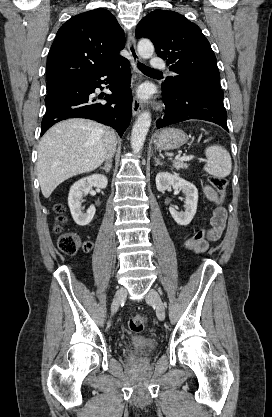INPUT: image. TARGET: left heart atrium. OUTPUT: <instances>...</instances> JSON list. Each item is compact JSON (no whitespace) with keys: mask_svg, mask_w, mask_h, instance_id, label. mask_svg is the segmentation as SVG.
Masks as SVG:
<instances>
[{"mask_svg":"<svg viewBox=\"0 0 272 417\" xmlns=\"http://www.w3.org/2000/svg\"><path fill=\"white\" fill-rule=\"evenodd\" d=\"M139 97L142 99H147L149 97V90L147 88H142L139 90Z\"/></svg>","mask_w":272,"mask_h":417,"instance_id":"left-heart-atrium-1","label":"left heart atrium"}]
</instances>
